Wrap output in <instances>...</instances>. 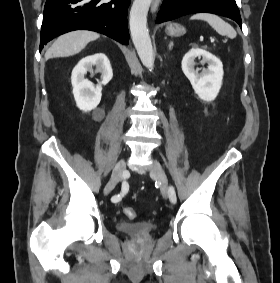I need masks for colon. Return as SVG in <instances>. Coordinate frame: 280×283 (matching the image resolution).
<instances>
[{"instance_id": "1", "label": "colon", "mask_w": 280, "mask_h": 283, "mask_svg": "<svg viewBox=\"0 0 280 283\" xmlns=\"http://www.w3.org/2000/svg\"><path fill=\"white\" fill-rule=\"evenodd\" d=\"M124 214L126 217L130 218V219H133L136 217V212L134 211V209L132 208H125L124 209Z\"/></svg>"}]
</instances>
